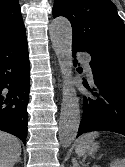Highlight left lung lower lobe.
I'll use <instances>...</instances> for the list:
<instances>
[{"mask_svg":"<svg viewBox=\"0 0 125 167\" xmlns=\"http://www.w3.org/2000/svg\"><path fill=\"white\" fill-rule=\"evenodd\" d=\"M72 51L75 56L77 51L85 50L72 44ZM90 55L95 87L90 89L85 85L92 95L83 98V115L77 137L92 131L125 135V61L114 54Z\"/></svg>","mask_w":125,"mask_h":167,"instance_id":"obj_1","label":"left lung lower lobe"}]
</instances>
